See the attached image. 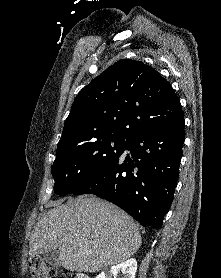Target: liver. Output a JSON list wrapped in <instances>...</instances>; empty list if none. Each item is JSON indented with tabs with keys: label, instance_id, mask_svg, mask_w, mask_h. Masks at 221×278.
I'll use <instances>...</instances> for the list:
<instances>
[{
	"label": "liver",
	"instance_id": "6515ba94",
	"mask_svg": "<svg viewBox=\"0 0 221 278\" xmlns=\"http://www.w3.org/2000/svg\"><path fill=\"white\" fill-rule=\"evenodd\" d=\"M141 245L133 219L95 196L54 203L34 226L29 254L58 250L66 270L95 273L124 262Z\"/></svg>",
	"mask_w": 221,
	"mask_h": 278
}]
</instances>
